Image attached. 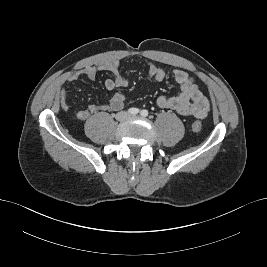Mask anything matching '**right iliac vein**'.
<instances>
[{
  "label": "right iliac vein",
  "instance_id": "obj_1",
  "mask_svg": "<svg viewBox=\"0 0 267 267\" xmlns=\"http://www.w3.org/2000/svg\"><path fill=\"white\" fill-rule=\"evenodd\" d=\"M126 117H127V114L124 113V112L120 113V114L117 116V118H118L119 120H124Z\"/></svg>",
  "mask_w": 267,
  "mask_h": 267
}]
</instances>
